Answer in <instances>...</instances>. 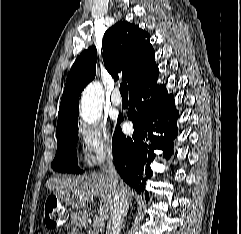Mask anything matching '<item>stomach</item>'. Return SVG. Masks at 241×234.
<instances>
[{
    "mask_svg": "<svg viewBox=\"0 0 241 234\" xmlns=\"http://www.w3.org/2000/svg\"><path fill=\"white\" fill-rule=\"evenodd\" d=\"M73 220L76 221V222L80 221L79 216L77 214H75L73 216Z\"/></svg>",
    "mask_w": 241,
    "mask_h": 234,
    "instance_id": "obj_1",
    "label": "stomach"
}]
</instances>
